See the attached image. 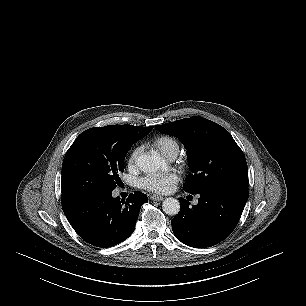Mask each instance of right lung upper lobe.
<instances>
[{"label": "right lung upper lobe", "mask_w": 306, "mask_h": 306, "mask_svg": "<svg viewBox=\"0 0 306 306\" xmlns=\"http://www.w3.org/2000/svg\"><path fill=\"white\" fill-rule=\"evenodd\" d=\"M153 129V126L150 127H138L132 125H109L106 127H99V128H91L83 133L89 132H106L116 135L119 138L125 139H135L139 140L149 134V132Z\"/></svg>", "instance_id": "right-lung-upper-lobe-1"}]
</instances>
